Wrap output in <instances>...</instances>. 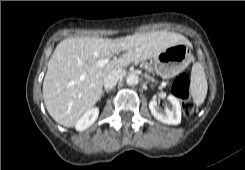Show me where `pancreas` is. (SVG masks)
Instances as JSON below:
<instances>
[{
  "label": "pancreas",
  "instance_id": "cf45deb5",
  "mask_svg": "<svg viewBox=\"0 0 245 170\" xmlns=\"http://www.w3.org/2000/svg\"><path fill=\"white\" fill-rule=\"evenodd\" d=\"M145 65H147V64H145ZM147 70L148 71H152V67H150L149 65H147Z\"/></svg>",
  "mask_w": 245,
  "mask_h": 170
}]
</instances>
